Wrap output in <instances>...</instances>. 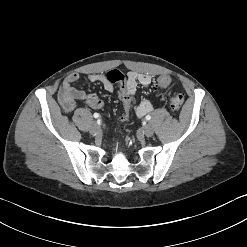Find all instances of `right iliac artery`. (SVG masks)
Segmentation results:
<instances>
[{"label":"right iliac artery","instance_id":"1","mask_svg":"<svg viewBox=\"0 0 247 247\" xmlns=\"http://www.w3.org/2000/svg\"><path fill=\"white\" fill-rule=\"evenodd\" d=\"M94 118H100V115L98 113L93 114Z\"/></svg>","mask_w":247,"mask_h":247}]
</instances>
